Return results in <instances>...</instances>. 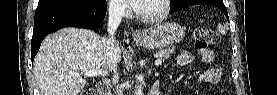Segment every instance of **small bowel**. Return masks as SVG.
I'll use <instances>...</instances> for the list:
<instances>
[{
  "label": "small bowel",
  "mask_w": 277,
  "mask_h": 95,
  "mask_svg": "<svg viewBox=\"0 0 277 95\" xmlns=\"http://www.w3.org/2000/svg\"><path fill=\"white\" fill-rule=\"evenodd\" d=\"M195 56L200 57L205 63H214L215 56L212 50H201L197 51L196 54L189 51H182L177 56L178 66H184L190 62ZM223 76V70L220 67L210 68L206 73H204L201 79L204 82H216L220 77Z\"/></svg>",
  "instance_id": "small-bowel-1"
}]
</instances>
